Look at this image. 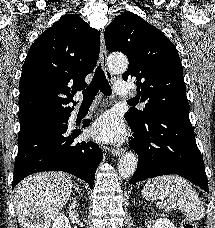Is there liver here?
<instances>
[{"instance_id":"obj_1","label":"liver","mask_w":215,"mask_h":228,"mask_svg":"<svg viewBox=\"0 0 215 228\" xmlns=\"http://www.w3.org/2000/svg\"><path fill=\"white\" fill-rule=\"evenodd\" d=\"M73 188L63 172H38L14 188V206L20 228H51Z\"/></svg>"}]
</instances>
